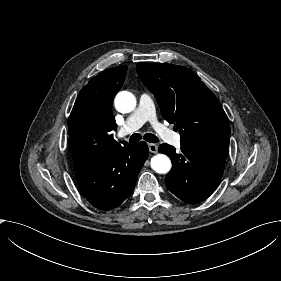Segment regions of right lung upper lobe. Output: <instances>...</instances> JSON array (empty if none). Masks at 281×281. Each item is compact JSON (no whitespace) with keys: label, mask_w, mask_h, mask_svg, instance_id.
Masks as SVG:
<instances>
[{"label":"right lung upper lobe","mask_w":281,"mask_h":281,"mask_svg":"<svg viewBox=\"0 0 281 281\" xmlns=\"http://www.w3.org/2000/svg\"><path fill=\"white\" fill-rule=\"evenodd\" d=\"M127 66H118L93 77L79 93L68 119L71 153L80 148L119 145L111 135L116 130L112 101L122 87Z\"/></svg>","instance_id":"1"}]
</instances>
